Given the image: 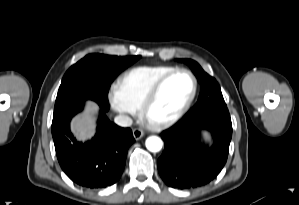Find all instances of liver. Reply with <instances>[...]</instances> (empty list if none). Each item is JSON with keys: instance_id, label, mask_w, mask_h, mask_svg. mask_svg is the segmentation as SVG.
<instances>
[{"instance_id": "liver-1", "label": "liver", "mask_w": 299, "mask_h": 205, "mask_svg": "<svg viewBox=\"0 0 299 205\" xmlns=\"http://www.w3.org/2000/svg\"><path fill=\"white\" fill-rule=\"evenodd\" d=\"M86 104L85 113L76 116L71 122V129L75 137L83 142L90 139L95 133V121L98 110L97 105L93 101H87Z\"/></svg>"}]
</instances>
